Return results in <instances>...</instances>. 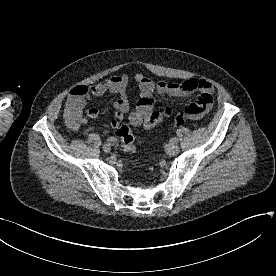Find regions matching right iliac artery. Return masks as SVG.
<instances>
[{
  "mask_svg": "<svg viewBox=\"0 0 276 276\" xmlns=\"http://www.w3.org/2000/svg\"><path fill=\"white\" fill-rule=\"evenodd\" d=\"M107 141H108V143H110V144H116V139L115 138H113V137H109L108 139H107Z\"/></svg>",
  "mask_w": 276,
  "mask_h": 276,
  "instance_id": "1",
  "label": "right iliac artery"
}]
</instances>
